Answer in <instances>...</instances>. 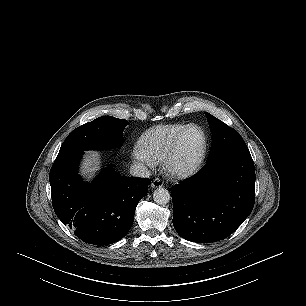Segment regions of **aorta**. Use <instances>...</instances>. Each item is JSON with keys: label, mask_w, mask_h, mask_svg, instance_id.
<instances>
[{"label": "aorta", "mask_w": 306, "mask_h": 306, "mask_svg": "<svg viewBox=\"0 0 306 306\" xmlns=\"http://www.w3.org/2000/svg\"><path fill=\"white\" fill-rule=\"evenodd\" d=\"M154 201L159 205H165L170 201V193L165 188H157L153 193Z\"/></svg>", "instance_id": "762f6f07"}]
</instances>
